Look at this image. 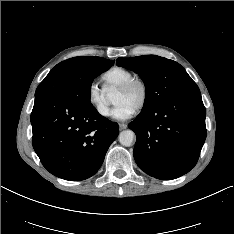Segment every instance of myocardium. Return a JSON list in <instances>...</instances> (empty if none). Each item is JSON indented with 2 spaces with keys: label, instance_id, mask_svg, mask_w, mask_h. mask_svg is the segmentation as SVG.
Here are the masks:
<instances>
[{
  "label": "myocardium",
  "instance_id": "f54148a6",
  "mask_svg": "<svg viewBox=\"0 0 234 234\" xmlns=\"http://www.w3.org/2000/svg\"><path fill=\"white\" fill-rule=\"evenodd\" d=\"M134 87H138L141 92L140 100L137 106L135 107V111H140L145 107L149 97L148 85L143 78L134 76L129 80H127L126 82H124L123 84H121L119 87H117V91L126 93L129 92Z\"/></svg>",
  "mask_w": 234,
  "mask_h": 234
}]
</instances>
